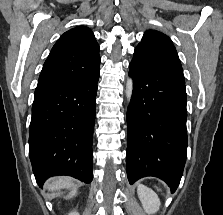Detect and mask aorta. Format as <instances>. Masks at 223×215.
Listing matches in <instances>:
<instances>
[{"mask_svg":"<svg viewBox=\"0 0 223 215\" xmlns=\"http://www.w3.org/2000/svg\"><path fill=\"white\" fill-rule=\"evenodd\" d=\"M132 92H133V80H132V78H128V80L126 82V90H125L127 102H130Z\"/></svg>","mask_w":223,"mask_h":215,"instance_id":"obj_1","label":"aorta"}]
</instances>
